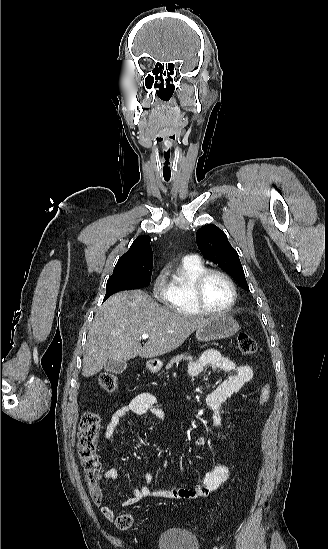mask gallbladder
Segmentation results:
<instances>
[{
  "instance_id": "1",
  "label": "gallbladder",
  "mask_w": 328,
  "mask_h": 549,
  "mask_svg": "<svg viewBox=\"0 0 328 549\" xmlns=\"http://www.w3.org/2000/svg\"><path fill=\"white\" fill-rule=\"evenodd\" d=\"M128 367L127 361H112V359H107L104 369L108 373H115V375H121L124 373Z\"/></svg>"
}]
</instances>
